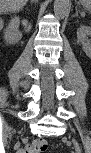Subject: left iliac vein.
I'll list each match as a JSON object with an SVG mask.
<instances>
[{
  "instance_id": "1",
  "label": "left iliac vein",
  "mask_w": 91,
  "mask_h": 153,
  "mask_svg": "<svg viewBox=\"0 0 91 153\" xmlns=\"http://www.w3.org/2000/svg\"><path fill=\"white\" fill-rule=\"evenodd\" d=\"M72 142H73V145H74L76 152L80 153V147H79V144L77 143V141L75 139H72Z\"/></svg>"
}]
</instances>
